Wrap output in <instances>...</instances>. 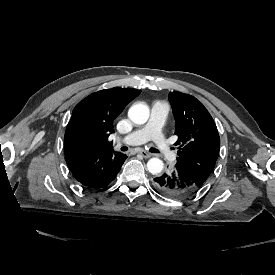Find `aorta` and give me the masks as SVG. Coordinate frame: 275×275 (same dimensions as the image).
Returning <instances> with one entry per match:
<instances>
[{
  "instance_id": "1",
  "label": "aorta",
  "mask_w": 275,
  "mask_h": 275,
  "mask_svg": "<svg viewBox=\"0 0 275 275\" xmlns=\"http://www.w3.org/2000/svg\"><path fill=\"white\" fill-rule=\"evenodd\" d=\"M128 118L137 125L145 124L149 119V108L147 104L137 102L133 104L128 111ZM164 163L159 158H151L147 162L148 171L151 174H159L162 172Z\"/></svg>"
}]
</instances>
